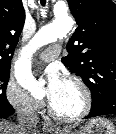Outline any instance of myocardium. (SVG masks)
I'll use <instances>...</instances> for the list:
<instances>
[{
    "label": "myocardium",
    "instance_id": "1",
    "mask_svg": "<svg viewBox=\"0 0 116 134\" xmlns=\"http://www.w3.org/2000/svg\"><path fill=\"white\" fill-rule=\"evenodd\" d=\"M65 82L73 85L81 94V97H82L81 109L73 115H65L56 111L50 104L49 113L59 121L66 122V123H75V122L81 121L83 118H85L89 114L91 107H92V97L86 85L79 79L74 78V77H68L65 79Z\"/></svg>",
    "mask_w": 116,
    "mask_h": 134
}]
</instances>
